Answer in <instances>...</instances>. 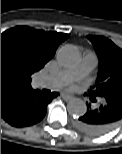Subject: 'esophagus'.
Masks as SVG:
<instances>
[{"mask_svg": "<svg viewBox=\"0 0 122 154\" xmlns=\"http://www.w3.org/2000/svg\"><path fill=\"white\" fill-rule=\"evenodd\" d=\"M61 97L65 100V101H69L70 99H72V96L67 94V93H64L62 92L61 93Z\"/></svg>", "mask_w": 122, "mask_h": 154, "instance_id": "1", "label": "esophagus"}]
</instances>
